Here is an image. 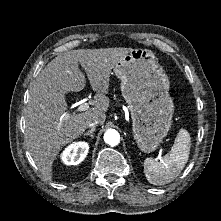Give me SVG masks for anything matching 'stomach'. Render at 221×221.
<instances>
[{"instance_id":"stomach-1","label":"stomach","mask_w":221,"mask_h":221,"mask_svg":"<svg viewBox=\"0 0 221 221\" xmlns=\"http://www.w3.org/2000/svg\"><path fill=\"white\" fill-rule=\"evenodd\" d=\"M114 72L131 113L134 139L144 153L154 152L172 123L168 76L151 50L139 48L119 59Z\"/></svg>"}]
</instances>
